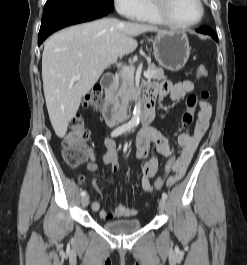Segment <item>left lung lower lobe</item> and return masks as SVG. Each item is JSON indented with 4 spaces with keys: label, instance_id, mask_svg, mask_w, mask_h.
I'll list each match as a JSON object with an SVG mask.
<instances>
[{
    "label": "left lung lower lobe",
    "instance_id": "0a47b994",
    "mask_svg": "<svg viewBox=\"0 0 247 265\" xmlns=\"http://www.w3.org/2000/svg\"><path fill=\"white\" fill-rule=\"evenodd\" d=\"M196 31L199 33L209 34L217 41V37H216L215 33L211 29H209L208 27H202L200 29H197Z\"/></svg>",
    "mask_w": 247,
    "mask_h": 265
}]
</instances>
